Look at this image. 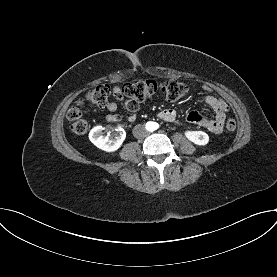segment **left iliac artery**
I'll list each match as a JSON object with an SVG mask.
<instances>
[{"instance_id": "1", "label": "left iliac artery", "mask_w": 277, "mask_h": 277, "mask_svg": "<svg viewBox=\"0 0 277 277\" xmlns=\"http://www.w3.org/2000/svg\"><path fill=\"white\" fill-rule=\"evenodd\" d=\"M159 127V125L158 124H155V128H158Z\"/></svg>"}]
</instances>
